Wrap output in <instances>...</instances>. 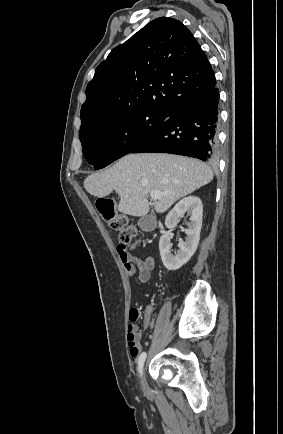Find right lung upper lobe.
Here are the masks:
<instances>
[{"label":"right lung upper lobe","mask_w":283,"mask_h":434,"mask_svg":"<svg viewBox=\"0 0 283 434\" xmlns=\"http://www.w3.org/2000/svg\"><path fill=\"white\" fill-rule=\"evenodd\" d=\"M214 86L207 55L192 33L180 21L160 17L98 65L86 88L81 130L128 111L170 112Z\"/></svg>","instance_id":"1"}]
</instances>
